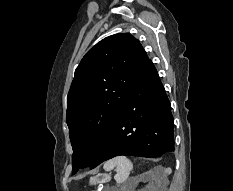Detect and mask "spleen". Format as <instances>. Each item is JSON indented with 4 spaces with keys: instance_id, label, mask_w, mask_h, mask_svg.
<instances>
[{
    "instance_id": "spleen-1",
    "label": "spleen",
    "mask_w": 233,
    "mask_h": 191,
    "mask_svg": "<svg viewBox=\"0 0 233 191\" xmlns=\"http://www.w3.org/2000/svg\"><path fill=\"white\" fill-rule=\"evenodd\" d=\"M103 168L105 171H110L116 168L114 179L118 184H122L128 179L129 174L133 169V164L129 158L119 156L105 162Z\"/></svg>"
}]
</instances>
